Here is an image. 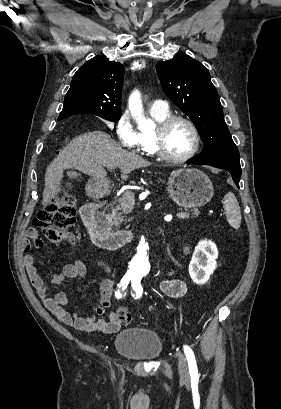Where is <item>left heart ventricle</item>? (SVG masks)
Returning <instances> with one entry per match:
<instances>
[{"mask_svg": "<svg viewBox=\"0 0 281 409\" xmlns=\"http://www.w3.org/2000/svg\"><path fill=\"white\" fill-rule=\"evenodd\" d=\"M193 146V136L183 122L173 123L164 137V148L171 156L179 157L187 154Z\"/></svg>", "mask_w": 281, "mask_h": 409, "instance_id": "left-heart-ventricle-1", "label": "left heart ventricle"}]
</instances>
